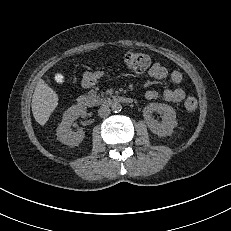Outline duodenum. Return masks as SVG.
Returning a JSON list of instances; mask_svg holds the SVG:
<instances>
[{"mask_svg": "<svg viewBox=\"0 0 231 231\" xmlns=\"http://www.w3.org/2000/svg\"><path fill=\"white\" fill-rule=\"evenodd\" d=\"M133 99L128 96L123 95H112L107 97L104 100V104H113V103H124V104H131ZM77 104L81 107H91L95 104V100L89 95H80L77 98Z\"/></svg>", "mask_w": 231, "mask_h": 231, "instance_id": "duodenum-1", "label": "duodenum"}]
</instances>
